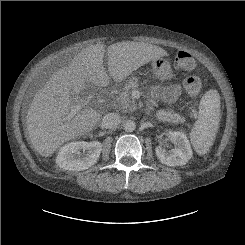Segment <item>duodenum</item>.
<instances>
[{
    "label": "duodenum",
    "mask_w": 245,
    "mask_h": 245,
    "mask_svg": "<svg viewBox=\"0 0 245 245\" xmlns=\"http://www.w3.org/2000/svg\"><path fill=\"white\" fill-rule=\"evenodd\" d=\"M105 108H106V110H108V111H113V110H114V106L112 105L111 102L106 103Z\"/></svg>",
    "instance_id": "duodenum-1"
}]
</instances>
